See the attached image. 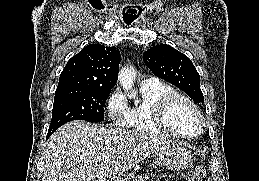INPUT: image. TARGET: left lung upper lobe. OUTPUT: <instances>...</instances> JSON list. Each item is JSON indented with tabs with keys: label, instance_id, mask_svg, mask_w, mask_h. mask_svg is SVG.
<instances>
[{
	"label": "left lung upper lobe",
	"instance_id": "left-lung-upper-lobe-1",
	"mask_svg": "<svg viewBox=\"0 0 259 181\" xmlns=\"http://www.w3.org/2000/svg\"><path fill=\"white\" fill-rule=\"evenodd\" d=\"M143 60L156 76L180 88L195 103L204 102L199 73L186 55L170 45L159 44L147 50Z\"/></svg>",
	"mask_w": 259,
	"mask_h": 181
}]
</instances>
